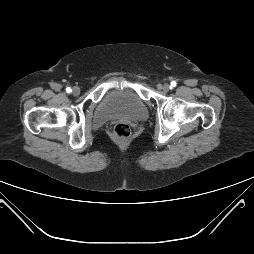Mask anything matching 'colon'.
Masks as SVG:
<instances>
[{"label": "colon", "mask_w": 254, "mask_h": 254, "mask_svg": "<svg viewBox=\"0 0 254 254\" xmlns=\"http://www.w3.org/2000/svg\"><path fill=\"white\" fill-rule=\"evenodd\" d=\"M114 136L121 141L127 140L131 135V128L126 123H118L113 129Z\"/></svg>", "instance_id": "obj_1"}]
</instances>
